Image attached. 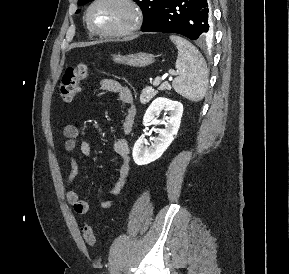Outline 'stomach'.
Segmentation results:
<instances>
[{"label": "stomach", "instance_id": "obj_1", "mask_svg": "<svg viewBox=\"0 0 289 274\" xmlns=\"http://www.w3.org/2000/svg\"><path fill=\"white\" fill-rule=\"evenodd\" d=\"M113 60L116 63H122L134 67H144L152 64L154 62V57L152 54L148 53H137L127 56L114 55Z\"/></svg>", "mask_w": 289, "mask_h": 274}]
</instances>
